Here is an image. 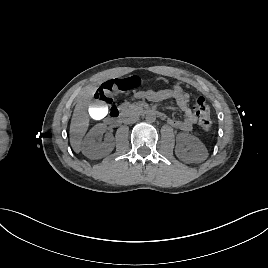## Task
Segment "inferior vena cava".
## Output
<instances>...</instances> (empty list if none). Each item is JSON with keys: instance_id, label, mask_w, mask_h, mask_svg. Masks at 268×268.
<instances>
[{"instance_id": "inferior-vena-cava-1", "label": "inferior vena cava", "mask_w": 268, "mask_h": 268, "mask_svg": "<svg viewBox=\"0 0 268 268\" xmlns=\"http://www.w3.org/2000/svg\"><path fill=\"white\" fill-rule=\"evenodd\" d=\"M139 120V115L134 112H128L124 115L123 122L125 124H133Z\"/></svg>"}]
</instances>
